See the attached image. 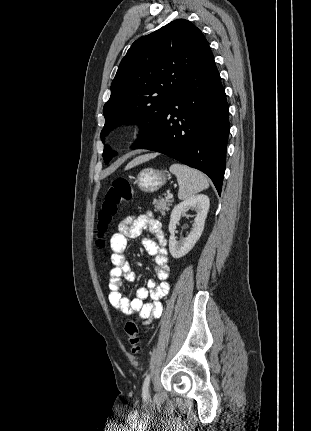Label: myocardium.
Wrapping results in <instances>:
<instances>
[{
    "mask_svg": "<svg viewBox=\"0 0 311 431\" xmlns=\"http://www.w3.org/2000/svg\"><path fill=\"white\" fill-rule=\"evenodd\" d=\"M152 130L150 121L143 117H131L120 126V134L129 141H138L147 137Z\"/></svg>",
    "mask_w": 311,
    "mask_h": 431,
    "instance_id": "f54148a6",
    "label": "myocardium"
}]
</instances>
